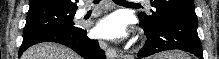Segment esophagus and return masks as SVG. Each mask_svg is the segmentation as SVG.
Returning <instances> with one entry per match:
<instances>
[{
  "label": "esophagus",
  "mask_w": 219,
  "mask_h": 59,
  "mask_svg": "<svg viewBox=\"0 0 219 59\" xmlns=\"http://www.w3.org/2000/svg\"><path fill=\"white\" fill-rule=\"evenodd\" d=\"M106 47V56L108 59H114L116 57V51L113 48L108 47L105 43H103Z\"/></svg>",
  "instance_id": "esophagus-1"
}]
</instances>
